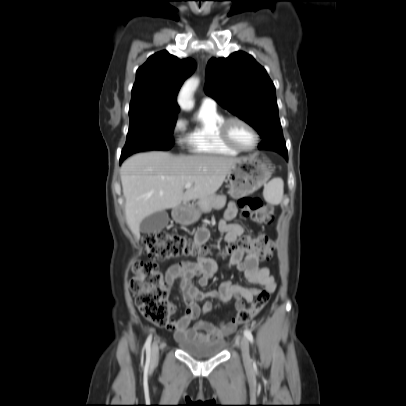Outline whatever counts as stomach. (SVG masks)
Listing matches in <instances>:
<instances>
[{"label":"stomach","instance_id":"1","mask_svg":"<svg viewBox=\"0 0 406 406\" xmlns=\"http://www.w3.org/2000/svg\"><path fill=\"white\" fill-rule=\"evenodd\" d=\"M271 177V166L256 155L242 158L234 169L226 176L229 181V195L238 199L249 195L265 185ZM201 215L200 208L195 205L178 206L173 212V219L183 225L196 222Z\"/></svg>","mask_w":406,"mask_h":406}]
</instances>
